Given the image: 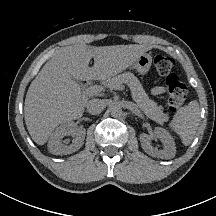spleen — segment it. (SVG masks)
Wrapping results in <instances>:
<instances>
[{
    "label": "spleen",
    "mask_w": 216,
    "mask_h": 216,
    "mask_svg": "<svg viewBox=\"0 0 216 216\" xmlns=\"http://www.w3.org/2000/svg\"><path fill=\"white\" fill-rule=\"evenodd\" d=\"M200 121V109L196 100L187 106L180 108L169 123V128L178 134L185 146H188L198 129Z\"/></svg>",
    "instance_id": "1"
}]
</instances>
